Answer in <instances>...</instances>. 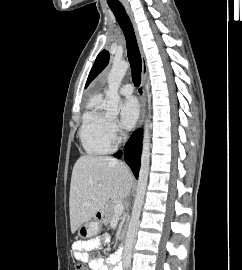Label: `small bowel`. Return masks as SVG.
<instances>
[{
    "mask_svg": "<svg viewBox=\"0 0 242 270\" xmlns=\"http://www.w3.org/2000/svg\"><path fill=\"white\" fill-rule=\"evenodd\" d=\"M107 236L96 238L77 244V257L87 261L94 270H122L120 265L121 257L118 253L110 255L108 258H95L92 252L104 246L107 241Z\"/></svg>",
    "mask_w": 242,
    "mask_h": 270,
    "instance_id": "c3829d8e",
    "label": "small bowel"
}]
</instances>
